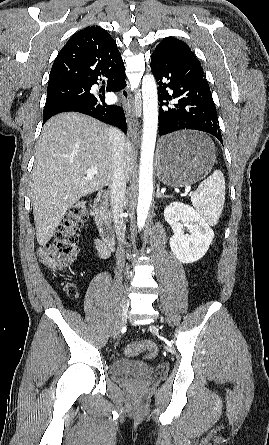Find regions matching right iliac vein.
Returning <instances> with one entry per match:
<instances>
[{"mask_svg": "<svg viewBox=\"0 0 269 445\" xmlns=\"http://www.w3.org/2000/svg\"><path fill=\"white\" fill-rule=\"evenodd\" d=\"M128 307L129 301L126 296H123L120 300L118 313L113 326L112 336L114 339L119 336L121 328L126 322Z\"/></svg>", "mask_w": 269, "mask_h": 445, "instance_id": "obj_1", "label": "right iliac vein"}]
</instances>
